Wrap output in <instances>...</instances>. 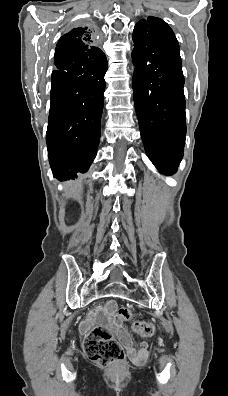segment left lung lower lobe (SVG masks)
Returning <instances> with one entry per match:
<instances>
[{
    "instance_id": "left-lung-lower-lobe-1",
    "label": "left lung lower lobe",
    "mask_w": 228,
    "mask_h": 396,
    "mask_svg": "<svg viewBox=\"0 0 228 396\" xmlns=\"http://www.w3.org/2000/svg\"><path fill=\"white\" fill-rule=\"evenodd\" d=\"M136 113L145 151L157 169L172 175L186 135L184 76L179 45L156 35L133 37Z\"/></svg>"
}]
</instances>
